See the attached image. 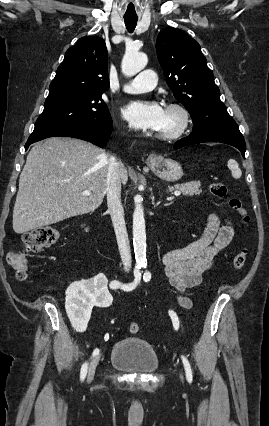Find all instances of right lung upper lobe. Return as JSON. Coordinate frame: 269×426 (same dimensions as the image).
I'll return each mask as SVG.
<instances>
[{"mask_svg":"<svg viewBox=\"0 0 269 426\" xmlns=\"http://www.w3.org/2000/svg\"><path fill=\"white\" fill-rule=\"evenodd\" d=\"M107 49L104 40L97 36L80 38L69 48L49 93L61 90L104 93L109 88Z\"/></svg>","mask_w":269,"mask_h":426,"instance_id":"right-lung-upper-lobe-1","label":"right lung upper lobe"}]
</instances>
